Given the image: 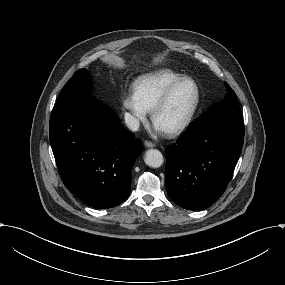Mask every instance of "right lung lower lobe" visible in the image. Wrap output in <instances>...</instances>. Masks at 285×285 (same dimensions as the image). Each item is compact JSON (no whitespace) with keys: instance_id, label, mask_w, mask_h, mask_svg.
Instances as JSON below:
<instances>
[{"instance_id":"1","label":"right lung lower lobe","mask_w":285,"mask_h":285,"mask_svg":"<svg viewBox=\"0 0 285 285\" xmlns=\"http://www.w3.org/2000/svg\"><path fill=\"white\" fill-rule=\"evenodd\" d=\"M49 132L60 177L79 199L105 209L129 196L142 146L109 107L89 95L58 101Z\"/></svg>"}]
</instances>
